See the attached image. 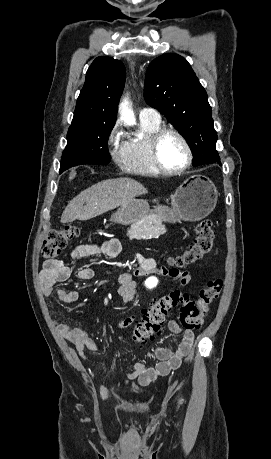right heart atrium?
Instances as JSON below:
<instances>
[{"label": "right heart atrium", "mask_w": 271, "mask_h": 459, "mask_svg": "<svg viewBox=\"0 0 271 459\" xmlns=\"http://www.w3.org/2000/svg\"><path fill=\"white\" fill-rule=\"evenodd\" d=\"M125 145L126 143L122 141L120 122L116 121L109 128L105 136V146L116 163L121 162Z\"/></svg>", "instance_id": "right-heart-atrium-1"}]
</instances>
